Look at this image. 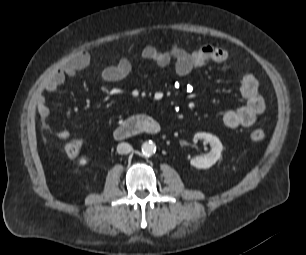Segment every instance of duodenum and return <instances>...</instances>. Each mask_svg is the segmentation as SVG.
I'll use <instances>...</instances> for the list:
<instances>
[{
	"label": "duodenum",
	"mask_w": 306,
	"mask_h": 255,
	"mask_svg": "<svg viewBox=\"0 0 306 255\" xmlns=\"http://www.w3.org/2000/svg\"><path fill=\"white\" fill-rule=\"evenodd\" d=\"M161 131L159 122L147 115L133 116L118 125L113 136L116 140H126L140 134L155 135Z\"/></svg>",
	"instance_id": "410a0bca"
}]
</instances>
